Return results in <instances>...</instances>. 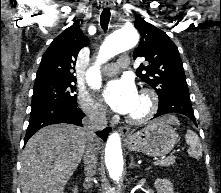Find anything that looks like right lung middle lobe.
Instances as JSON below:
<instances>
[{"label": "right lung middle lobe", "instance_id": "right-lung-middle-lobe-1", "mask_svg": "<svg viewBox=\"0 0 221 193\" xmlns=\"http://www.w3.org/2000/svg\"><path fill=\"white\" fill-rule=\"evenodd\" d=\"M75 81L68 82H50L34 85L31 107L53 103H67L77 105L76 87L72 84Z\"/></svg>", "mask_w": 221, "mask_h": 193}]
</instances>
